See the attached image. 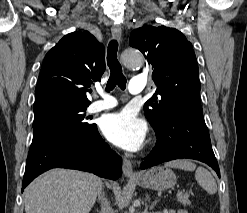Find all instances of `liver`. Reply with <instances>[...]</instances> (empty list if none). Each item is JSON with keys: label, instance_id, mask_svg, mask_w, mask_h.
<instances>
[{"label": "liver", "instance_id": "obj_1", "mask_svg": "<svg viewBox=\"0 0 247 213\" xmlns=\"http://www.w3.org/2000/svg\"><path fill=\"white\" fill-rule=\"evenodd\" d=\"M101 185L102 180L94 174L52 169L25 189V212L89 213Z\"/></svg>", "mask_w": 247, "mask_h": 213}]
</instances>
